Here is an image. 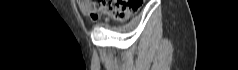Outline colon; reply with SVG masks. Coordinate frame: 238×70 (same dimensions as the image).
<instances>
[{"label": "colon", "instance_id": "colon-1", "mask_svg": "<svg viewBox=\"0 0 238 70\" xmlns=\"http://www.w3.org/2000/svg\"><path fill=\"white\" fill-rule=\"evenodd\" d=\"M80 10L91 20L102 15L115 19H126L140 6L139 0H78Z\"/></svg>", "mask_w": 238, "mask_h": 70}]
</instances>
